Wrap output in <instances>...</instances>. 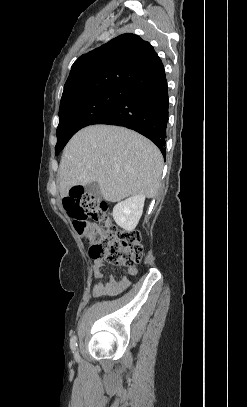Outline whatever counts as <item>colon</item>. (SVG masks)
<instances>
[{
    "instance_id": "colon-1",
    "label": "colon",
    "mask_w": 247,
    "mask_h": 407,
    "mask_svg": "<svg viewBox=\"0 0 247 407\" xmlns=\"http://www.w3.org/2000/svg\"><path fill=\"white\" fill-rule=\"evenodd\" d=\"M63 205L78 234L90 245L95 259L104 258L114 266L135 268L142 260L143 246L138 231H121L113 223L108 205L73 188Z\"/></svg>"
}]
</instances>
